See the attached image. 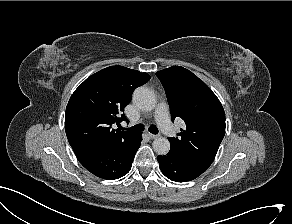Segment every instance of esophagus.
<instances>
[{
	"mask_svg": "<svg viewBox=\"0 0 292 224\" xmlns=\"http://www.w3.org/2000/svg\"><path fill=\"white\" fill-rule=\"evenodd\" d=\"M148 136H149L151 139H156V138L159 137V135L152 134V133H148Z\"/></svg>",
	"mask_w": 292,
	"mask_h": 224,
	"instance_id": "1",
	"label": "esophagus"
}]
</instances>
